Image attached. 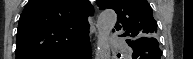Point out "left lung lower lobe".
<instances>
[{"instance_id":"left-lung-lower-lobe-1","label":"left lung lower lobe","mask_w":193,"mask_h":59,"mask_svg":"<svg viewBox=\"0 0 193 59\" xmlns=\"http://www.w3.org/2000/svg\"><path fill=\"white\" fill-rule=\"evenodd\" d=\"M129 46L133 49V59H161L162 52L157 41H134Z\"/></svg>"}]
</instances>
